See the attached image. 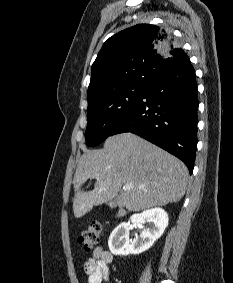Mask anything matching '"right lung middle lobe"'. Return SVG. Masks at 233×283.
<instances>
[{
    "label": "right lung middle lobe",
    "instance_id": "obj_1",
    "mask_svg": "<svg viewBox=\"0 0 233 283\" xmlns=\"http://www.w3.org/2000/svg\"><path fill=\"white\" fill-rule=\"evenodd\" d=\"M147 86L130 85L112 91L88 105V124L85 132L88 146H97L111 135L141 98Z\"/></svg>",
    "mask_w": 233,
    "mask_h": 283
}]
</instances>
